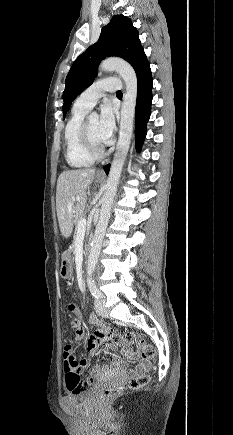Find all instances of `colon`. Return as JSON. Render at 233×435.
<instances>
[{"label":"colon","mask_w":233,"mask_h":435,"mask_svg":"<svg viewBox=\"0 0 233 435\" xmlns=\"http://www.w3.org/2000/svg\"><path fill=\"white\" fill-rule=\"evenodd\" d=\"M70 311L73 313L71 316L70 324L72 328L76 329L79 325L78 318L75 314V307L73 305L69 306ZM111 339L116 344L123 343H133L136 345L138 351L140 352L143 359L149 362H153L156 358L155 348L148 344L145 340L141 339L137 333L133 331H128L125 333H120L117 331L111 332ZM64 358L74 355L73 345L67 343L63 347ZM74 366L78 365V361L74 360ZM150 381L149 373H140L133 376L125 385L105 387L99 394V402L102 404L111 403L120 393L126 390H137L148 384ZM68 390L72 393H78L86 390L88 388V383L83 382L79 376L76 374H69L67 376Z\"/></svg>","instance_id":"1"}]
</instances>
